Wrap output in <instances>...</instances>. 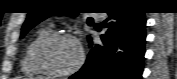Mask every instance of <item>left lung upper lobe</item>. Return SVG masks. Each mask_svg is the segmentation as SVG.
Returning a JSON list of instances; mask_svg holds the SVG:
<instances>
[{
    "label": "left lung upper lobe",
    "mask_w": 177,
    "mask_h": 79,
    "mask_svg": "<svg viewBox=\"0 0 177 79\" xmlns=\"http://www.w3.org/2000/svg\"><path fill=\"white\" fill-rule=\"evenodd\" d=\"M37 6L34 10L28 13L27 19L22 27L21 38L25 36V34L33 28L36 24L41 22L42 20L48 18L51 15L58 14L53 13L50 10L46 9L47 4H51L53 1H38ZM59 14H68L71 16H76L77 12H69V13H59Z\"/></svg>",
    "instance_id": "5c2ea615"
}]
</instances>
